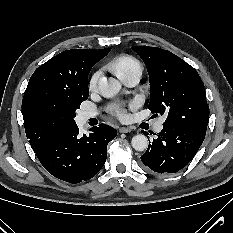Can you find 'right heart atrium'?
I'll list each match as a JSON object with an SVG mask.
<instances>
[{
	"mask_svg": "<svg viewBox=\"0 0 233 233\" xmlns=\"http://www.w3.org/2000/svg\"><path fill=\"white\" fill-rule=\"evenodd\" d=\"M100 76H101V72L100 71H96L90 78V81H89V89L90 90H95L97 88V84H98V81L100 79Z\"/></svg>",
	"mask_w": 233,
	"mask_h": 233,
	"instance_id": "obj_1",
	"label": "right heart atrium"
}]
</instances>
